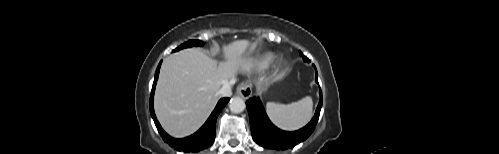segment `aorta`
<instances>
[{
    "instance_id": "762f6f07",
    "label": "aorta",
    "mask_w": 499,
    "mask_h": 154,
    "mask_svg": "<svg viewBox=\"0 0 499 154\" xmlns=\"http://www.w3.org/2000/svg\"><path fill=\"white\" fill-rule=\"evenodd\" d=\"M246 108L245 101L240 97H233L229 101V109L233 113L243 112Z\"/></svg>"
}]
</instances>
